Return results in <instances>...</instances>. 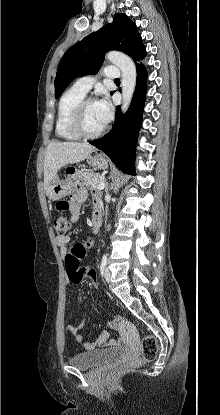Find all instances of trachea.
<instances>
[{
    "mask_svg": "<svg viewBox=\"0 0 220 415\" xmlns=\"http://www.w3.org/2000/svg\"><path fill=\"white\" fill-rule=\"evenodd\" d=\"M114 81H115V82H120V80H119V79H115Z\"/></svg>",
    "mask_w": 220,
    "mask_h": 415,
    "instance_id": "trachea-1",
    "label": "trachea"
}]
</instances>
